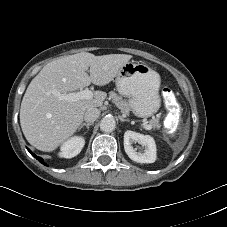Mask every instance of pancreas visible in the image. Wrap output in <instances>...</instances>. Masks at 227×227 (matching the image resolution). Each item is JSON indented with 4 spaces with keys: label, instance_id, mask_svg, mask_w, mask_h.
Listing matches in <instances>:
<instances>
[{
    "label": "pancreas",
    "instance_id": "obj_1",
    "mask_svg": "<svg viewBox=\"0 0 227 227\" xmlns=\"http://www.w3.org/2000/svg\"><path fill=\"white\" fill-rule=\"evenodd\" d=\"M109 97L110 99H112V102L121 110V112L124 115H129L131 109L129 103L126 100H124L120 95L116 94L115 92H110ZM150 123H151L150 125H152L153 128L160 127L158 118L152 119Z\"/></svg>",
    "mask_w": 227,
    "mask_h": 227
}]
</instances>
